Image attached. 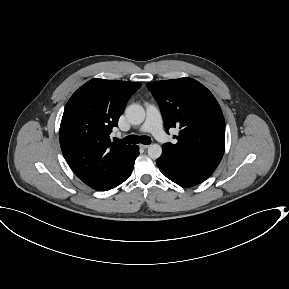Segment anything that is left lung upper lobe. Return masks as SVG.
Returning a JSON list of instances; mask_svg holds the SVG:
<instances>
[{"label": "left lung upper lobe", "instance_id": "obj_1", "mask_svg": "<svg viewBox=\"0 0 289 289\" xmlns=\"http://www.w3.org/2000/svg\"><path fill=\"white\" fill-rule=\"evenodd\" d=\"M146 85L161 108L165 128L180 129L177 143L164 144L163 153L217 167L225 149V121L212 93L188 77Z\"/></svg>", "mask_w": 289, "mask_h": 289}]
</instances>
